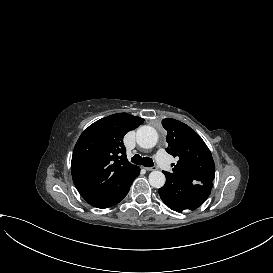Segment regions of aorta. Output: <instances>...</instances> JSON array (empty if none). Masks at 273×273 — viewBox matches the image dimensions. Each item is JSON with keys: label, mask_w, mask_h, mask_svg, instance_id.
Returning a JSON list of instances; mask_svg holds the SVG:
<instances>
[{"label": "aorta", "mask_w": 273, "mask_h": 273, "mask_svg": "<svg viewBox=\"0 0 273 273\" xmlns=\"http://www.w3.org/2000/svg\"><path fill=\"white\" fill-rule=\"evenodd\" d=\"M136 141L142 148H153L158 142L157 131L151 126H142L136 132ZM165 182V175L161 171L155 170L149 174V183L152 187L161 188Z\"/></svg>", "instance_id": "762f6f07"}]
</instances>
